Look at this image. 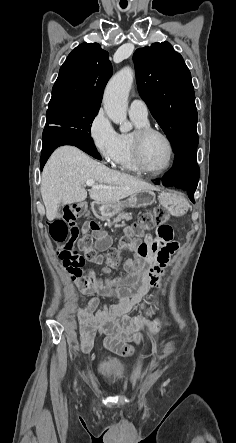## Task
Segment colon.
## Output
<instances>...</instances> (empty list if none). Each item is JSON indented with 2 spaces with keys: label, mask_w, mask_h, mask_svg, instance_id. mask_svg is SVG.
I'll return each instance as SVG.
<instances>
[{
  "label": "colon",
  "mask_w": 236,
  "mask_h": 443,
  "mask_svg": "<svg viewBox=\"0 0 236 443\" xmlns=\"http://www.w3.org/2000/svg\"><path fill=\"white\" fill-rule=\"evenodd\" d=\"M85 212L86 207L83 204L75 203L65 210L61 218L48 223L50 238L56 244L61 245L58 252L60 260L78 270L85 269L86 262L106 263L110 267L117 266L120 260L119 249H112L106 255H101L92 244L90 232H95L101 238L105 237L97 222L85 223L82 231L77 227L76 219L83 216ZM169 220L170 215L161 207L143 214L128 229L122 239V246L127 248L134 245L144 233L157 228V234L165 241L170 242L167 249L176 250V245L172 242L173 230L169 225ZM148 255L149 250L146 246L139 247L135 261L127 271L129 277L134 276V273L142 266V260L146 259Z\"/></svg>",
  "instance_id": "1"
}]
</instances>
